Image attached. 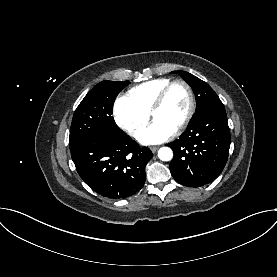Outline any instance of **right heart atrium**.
<instances>
[{"label":"right heart atrium","mask_w":277,"mask_h":277,"mask_svg":"<svg viewBox=\"0 0 277 277\" xmlns=\"http://www.w3.org/2000/svg\"><path fill=\"white\" fill-rule=\"evenodd\" d=\"M113 116L116 124L132 137L137 136L148 122L147 114L141 112L128 96H119L115 100Z\"/></svg>","instance_id":"right-heart-atrium-1"}]
</instances>
